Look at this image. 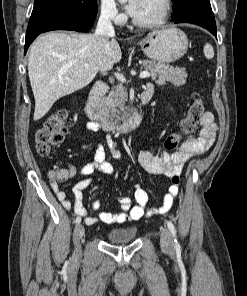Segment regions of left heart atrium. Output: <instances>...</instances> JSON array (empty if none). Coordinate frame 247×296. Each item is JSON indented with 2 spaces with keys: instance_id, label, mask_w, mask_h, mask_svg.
<instances>
[{
  "instance_id": "39dd6f15",
  "label": "left heart atrium",
  "mask_w": 247,
  "mask_h": 296,
  "mask_svg": "<svg viewBox=\"0 0 247 296\" xmlns=\"http://www.w3.org/2000/svg\"><path fill=\"white\" fill-rule=\"evenodd\" d=\"M142 0H129L126 4V9L131 16H135L139 10Z\"/></svg>"
}]
</instances>
